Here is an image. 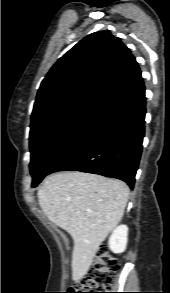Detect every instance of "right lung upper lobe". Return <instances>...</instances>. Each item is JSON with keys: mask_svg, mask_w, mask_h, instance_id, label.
<instances>
[{"mask_svg": "<svg viewBox=\"0 0 170 293\" xmlns=\"http://www.w3.org/2000/svg\"><path fill=\"white\" fill-rule=\"evenodd\" d=\"M142 84L139 66L121 40L108 30L92 33L64 54L42 81L31 126L77 104L105 106Z\"/></svg>", "mask_w": 170, "mask_h": 293, "instance_id": "obj_1", "label": "right lung upper lobe"}]
</instances>
